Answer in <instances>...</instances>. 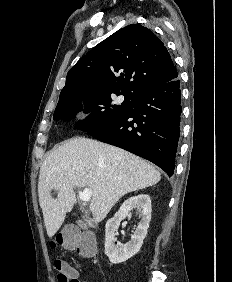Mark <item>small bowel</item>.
Instances as JSON below:
<instances>
[{
    "label": "small bowel",
    "instance_id": "obj_1",
    "mask_svg": "<svg viewBox=\"0 0 232 282\" xmlns=\"http://www.w3.org/2000/svg\"><path fill=\"white\" fill-rule=\"evenodd\" d=\"M72 274L77 279V282H88V281H86L84 279H80L79 278V274H78V272L75 269H72Z\"/></svg>",
    "mask_w": 232,
    "mask_h": 282
}]
</instances>
